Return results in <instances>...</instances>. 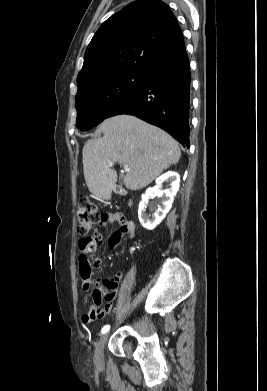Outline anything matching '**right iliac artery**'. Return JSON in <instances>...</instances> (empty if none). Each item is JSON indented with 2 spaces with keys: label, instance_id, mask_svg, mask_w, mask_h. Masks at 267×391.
<instances>
[{
  "label": "right iliac artery",
  "instance_id": "right-iliac-artery-1",
  "mask_svg": "<svg viewBox=\"0 0 267 391\" xmlns=\"http://www.w3.org/2000/svg\"><path fill=\"white\" fill-rule=\"evenodd\" d=\"M110 326L106 325L102 328V333H106L109 330Z\"/></svg>",
  "mask_w": 267,
  "mask_h": 391
}]
</instances>
